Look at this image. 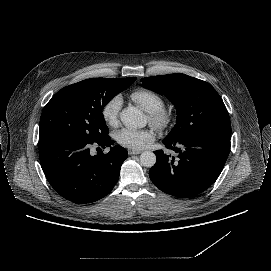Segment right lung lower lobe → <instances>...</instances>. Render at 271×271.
Listing matches in <instances>:
<instances>
[{
    "label": "right lung lower lobe",
    "instance_id": "98d812e1",
    "mask_svg": "<svg viewBox=\"0 0 271 271\" xmlns=\"http://www.w3.org/2000/svg\"><path fill=\"white\" fill-rule=\"evenodd\" d=\"M111 146L107 135L98 142L73 137L52 136L39 139V158L51 186L65 199L74 203L95 202L115 186L127 150L116 145L107 154H90V145Z\"/></svg>",
    "mask_w": 271,
    "mask_h": 271
}]
</instances>
